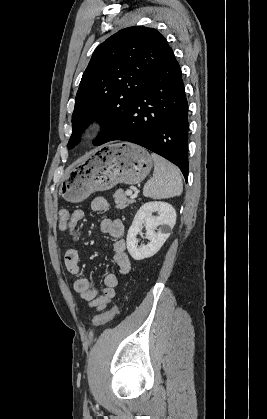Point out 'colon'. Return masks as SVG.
<instances>
[{"instance_id":"obj_1","label":"colon","mask_w":267,"mask_h":419,"mask_svg":"<svg viewBox=\"0 0 267 419\" xmlns=\"http://www.w3.org/2000/svg\"><path fill=\"white\" fill-rule=\"evenodd\" d=\"M70 216L71 215H70L69 211H67V210H62L60 212L58 225H59V228L62 231H67L68 230ZM118 311H119L118 306L111 307L107 311H105V312L99 314L98 316L94 317L93 320L91 321V326L92 327H99V326L111 321L118 314Z\"/></svg>"}]
</instances>
